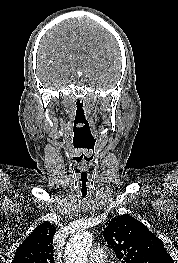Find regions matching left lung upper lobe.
Wrapping results in <instances>:
<instances>
[{
	"instance_id": "obj_1",
	"label": "left lung upper lobe",
	"mask_w": 178,
	"mask_h": 263,
	"mask_svg": "<svg viewBox=\"0 0 178 263\" xmlns=\"http://www.w3.org/2000/svg\"><path fill=\"white\" fill-rule=\"evenodd\" d=\"M104 239L122 263H174L163 242L128 214L112 218Z\"/></svg>"
}]
</instances>
